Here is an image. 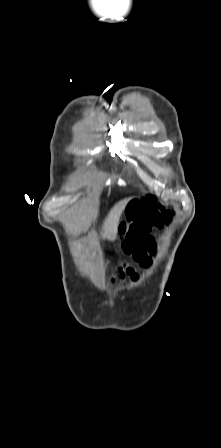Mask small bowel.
I'll list each match as a JSON object with an SVG mask.
<instances>
[{
  "instance_id": "obj_1",
  "label": "small bowel",
  "mask_w": 221,
  "mask_h": 448,
  "mask_svg": "<svg viewBox=\"0 0 221 448\" xmlns=\"http://www.w3.org/2000/svg\"><path fill=\"white\" fill-rule=\"evenodd\" d=\"M137 216L141 217L145 220H147L149 222V228L143 232L141 231L135 224V222L132 219H129L125 222L127 228H130V234L126 235V229L122 232H120V234L123 236V249L126 253L128 254H132L133 256H135V253L140 249L139 245H140V237L143 233H146L147 235H149V233L151 232V230L154 228V225L150 222L148 214L146 213V211L143 208H138L137 210ZM150 236V235H149Z\"/></svg>"
}]
</instances>
